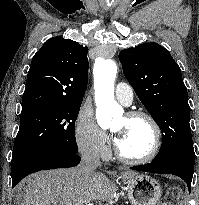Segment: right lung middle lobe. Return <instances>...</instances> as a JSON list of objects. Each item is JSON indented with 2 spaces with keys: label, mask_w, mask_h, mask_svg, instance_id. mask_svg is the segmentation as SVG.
Listing matches in <instances>:
<instances>
[{
  "label": "right lung middle lobe",
  "mask_w": 199,
  "mask_h": 205,
  "mask_svg": "<svg viewBox=\"0 0 199 205\" xmlns=\"http://www.w3.org/2000/svg\"><path fill=\"white\" fill-rule=\"evenodd\" d=\"M80 106L53 104L22 111L11 162L51 148L77 153L75 121Z\"/></svg>",
  "instance_id": "dd1d6c3e"
}]
</instances>
